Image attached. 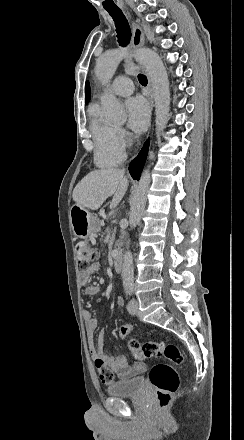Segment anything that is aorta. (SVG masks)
I'll return each instance as SVG.
<instances>
[{"label":"aorta","mask_w":244,"mask_h":440,"mask_svg":"<svg viewBox=\"0 0 244 440\" xmlns=\"http://www.w3.org/2000/svg\"><path fill=\"white\" fill-rule=\"evenodd\" d=\"M126 56L123 50H113L102 55L96 65V76L105 86H109L110 81L120 63ZM135 59L146 69L148 77L153 87L156 127L162 132L167 124L170 109V90L166 68L159 55L147 48L139 49L135 53ZM101 105L105 120L112 123L124 122L126 119L123 104L110 92L101 97ZM151 176L149 170H145L140 178L138 186L134 192L129 224L133 229L141 220L146 200ZM122 279L124 286H132L134 282L133 256L131 251H127L123 257Z\"/></svg>","instance_id":"1"}]
</instances>
